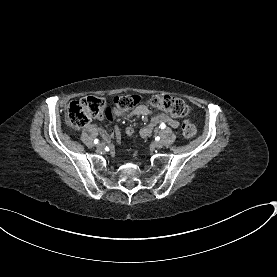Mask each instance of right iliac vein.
Wrapping results in <instances>:
<instances>
[{"mask_svg":"<svg viewBox=\"0 0 277 277\" xmlns=\"http://www.w3.org/2000/svg\"><path fill=\"white\" fill-rule=\"evenodd\" d=\"M104 146H105L104 143H99V144H97V149L98 150H103Z\"/></svg>","mask_w":277,"mask_h":277,"instance_id":"right-iliac-vein-1","label":"right iliac vein"}]
</instances>
